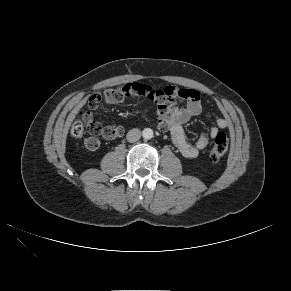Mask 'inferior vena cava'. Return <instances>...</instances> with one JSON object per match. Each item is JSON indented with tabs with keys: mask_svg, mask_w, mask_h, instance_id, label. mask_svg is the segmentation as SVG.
I'll use <instances>...</instances> for the list:
<instances>
[{
	"mask_svg": "<svg viewBox=\"0 0 291 291\" xmlns=\"http://www.w3.org/2000/svg\"><path fill=\"white\" fill-rule=\"evenodd\" d=\"M127 141L130 143L136 142L141 138V131L137 128L129 130L127 133Z\"/></svg>",
	"mask_w": 291,
	"mask_h": 291,
	"instance_id": "obj_1",
	"label": "inferior vena cava"
}]
</instances>
